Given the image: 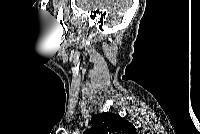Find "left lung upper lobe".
Masks as SVG:
<instances>
[{
	"label": "left lung upper lobe",
	"instance_id": "obj_1",
	"mask_svg": "<svg viewBox=\"0 0 200 134\" xmlns=\"http://www.w3.org/2000/svg\"><path fill=\"white\" fill-rule=\"evenodd\" d=\"M91 123L92 128L84 134H137L133 124L113 113L94 115Z\"/></svg>",
	"mask_w": 200,
	"mask_h": 134
}]
</instances>
